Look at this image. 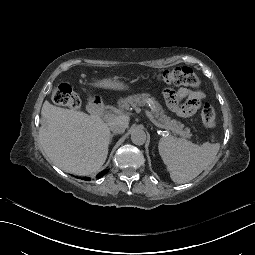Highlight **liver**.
<instances>
[{
    "label": "liver",
    "mask_w": 255,
    "mask_h": 255,
    "mask_svg": "<svg viewBox=\"0 0 255 255\" xmlns=\"http://www.w3.org/2000/svg\"><path fill=\"white\" fill-rule=\"evenodd\" d=\"M105 80V86H113ZM39 139L47 157L60 169L76 175L97 172L105 163L111 141L109 125L121 120L128 127L129 116L121 114L108 123L81 111L42 106Z\"/></svg>",
    "instance_id": "liver-1"
}]
</instances>
